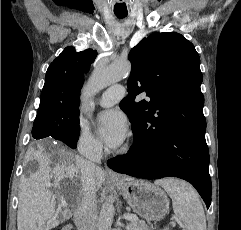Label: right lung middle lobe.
<instances>
[{"mask_svg":"<svg viewBox=\"0 0 241 230\" xmlns=\"http://www.w3.org/2000/svg\"><path fill=\"white\" fill-rule=\"evenodd\" d=\"M79 109L60 108L39 111L32 128L33 139L53 137L69 147L77 144L79 138Z\"/></svg>","mask_w":241,"mask_h":230,"instance_id":"dd1d6c3e","label":"right lung middle lobe"}]
</instances>
